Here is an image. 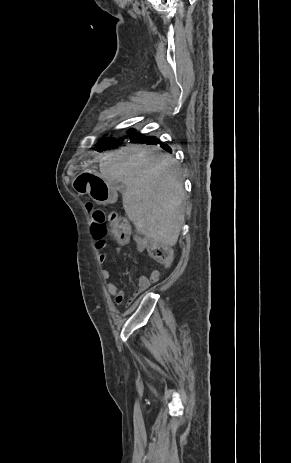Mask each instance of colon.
Returning a JSON list of instances; mask_svg holds the SVG:
<instances>
[{
	"label": "colon",
	"instance_id": "5ec220e1",
	"mask_svg": "<svg viewBox=\"0 0 291 463\" xmlns=\"http://www.w3.org/2000/svg\"><path fill=\"white\" fill-rule=\"evenodd\" d=\"M88 211L92 220L91 235L95 240V247L103 249L106 238L113 235L117 240H127L133 236L129 222L114 212H106L99 207L88 204ZM142 248L160 265L169 266L173 261V251L166 245L142 238Z\"/></svg>",
	"mask_w": 291,
	"mask_h": 463
}]
</instances>
